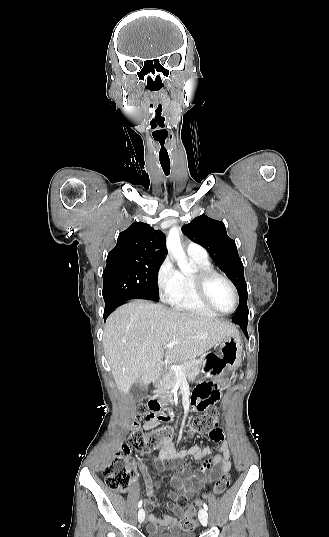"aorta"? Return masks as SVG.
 Here are the masks:
<instances>
[{"label": "aorta", "mask_w": 329, "mask_h": 537, "mask_svg": "<svg viewBox=\"0 0 329 537\" xmlns=\"http://www.w3.org/2000/svg\"><path fill=\"white\" fill-rule=\"evenodd\" d=\"M167 249L168 252L177 260V264L181 271L187 272L190 270V265L181 245L179 230L175 227L171 228L169 231L167 237Z\"/></svg>", "instance_id": "aorta-1"}]
</instances>
